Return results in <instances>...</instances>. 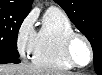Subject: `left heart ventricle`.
Wrapping results in <instances>:
<instances>
[{
  "instance_id": "obj_1",
  "label": "left heart ventricle",
  "mask_w": 102,
  "mask_h": 75,
  "mask_svg": "<svg viewBox=\"0 0 102 75\" xmlns=\"http://www.w3.org/2000/svg\"><path fill=\"white\" fill-rule=\"evenodd\" d=\"M73 52L75 59L80 64H85L88 60V50L85 43L82 40H77L74 43Z\"/></svg>"
}]
</instances>
